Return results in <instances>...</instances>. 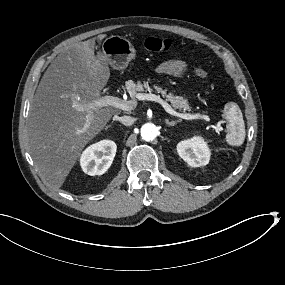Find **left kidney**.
<instances>
[{"label":"left kidney","mask_w":285,"mask_h":285,"mask_svg":"<svg viewBox=\"0 0 285 285\" xmlns=\"http://www.w3.org/2000/svg\"><path fill=\"white\" fill-rule=\"evenodd\" d=\"M177 152L191 167L207 165L211 156V151L201 136H194L191 139L179 142Z\"/></svg>","instance_id":"5707ae66"}]
</instances>
